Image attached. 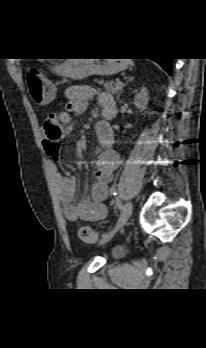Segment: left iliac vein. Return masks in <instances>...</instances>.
I'll list each match as a JSON object with an SVG mask.
<instances>
[{
  "label": "left iliac vein",
  "mask_w": 206,
  "mask_h": 348,
  "mask_svg": "<svg viewBox=\"0 0 206 348\" xmlns=\"http://www.w3.org/2000/svg\"><path fill=\"white\" fill-rule=\"evenodd\" d=\"M132 209H133V206H132V203L131 202H126L122 208V211H121V215H120V218L116 224V227L108 234H106L103 238V243L110 240L112 238V236L120 229L122 228L126 222L128 221V219L130 218L131 216V213H132Z\"/></svg>",
  "instance_id": "obj_1"
}]
</instances>
